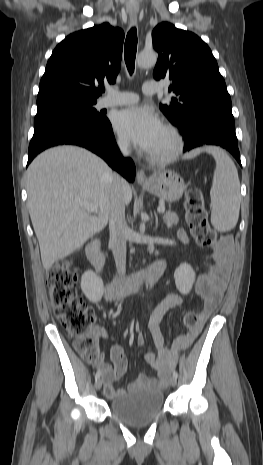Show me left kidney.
Here are the masks:
<instances>
[{
	"label": "left kidney",
	"mask_w": 263,
	"mask_h": 465,
	"mask_svg": "<svg viewBox=\"0 0 263 465\" xmlns=\"http://www.w3.org/2000/svg\"><path fill=\"white\" fill-rule=\"evenodd\" d=\"M176 288L182 294H188L195 281V272L188 264H181L174 273Z\"/></svg>",
	"instance_id": "5707ae66"
}]
</instances>
